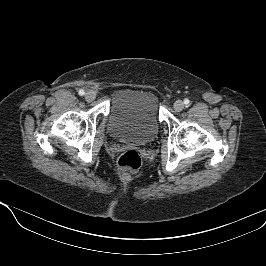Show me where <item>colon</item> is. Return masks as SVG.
Here are the masks:
<instances>
[{
  "label": "colon",
  "instance_id": "5ec220e1",
  "mask_svg": "<svg viewBox=\"0 0 266 266\" xmlns=\"http://www.w3.org/2000/svg\"><path fill=\"white\" fill-rule=\"evenodd\" d=\"M141 162L140 154L134 149H129L120 155L118 166L123 171L135 172L140 168Z\"/></svg>",
  "mask_w": 266,
  "mask_h": 266
}]
</instances>
